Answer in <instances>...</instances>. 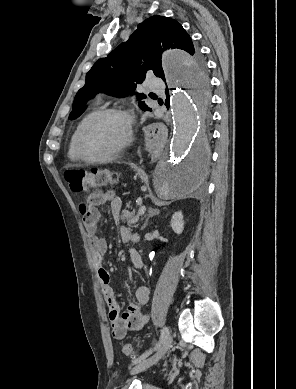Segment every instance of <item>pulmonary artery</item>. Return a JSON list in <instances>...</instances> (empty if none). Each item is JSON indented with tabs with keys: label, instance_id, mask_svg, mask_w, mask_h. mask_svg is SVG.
Returning a JSON list of instances; mask_svg holds the SVG:
<instances>
[{
	"label": "pulmonary artery",
	"instance_id": "pulmonary-artery-1",
	"mask_svg": "<svg viewBox=\"0 0 296 389\" xmlns=\"http://www.w3.org/2000/svg\"><path fill=\"white\" fill-rule=\"evenodd\" d=\"M148 88L152 91H162L163 89V83L160 80H149L148 83Z\"/></svg>",
	"mask_w": 296,
	"mask_h": 389
}]
</instances>
